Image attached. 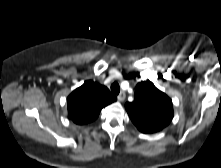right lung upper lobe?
Returning a JSON list of instances; mask_svg holds the SVG:
<instances>
[{
  "mask_svg": "<svg viewBox=\"0 0 221 168\" xmlns=\"http://www.w3.org/2000/svg\"><path fill=\"white\" fill-rule=\"evenodd\" d=\"M116 100L107 87L86 81L68 96V116L76 124H87L98 117L103 107Z\"/></svg>",
  "mask_w": 221,
  "mask_h": 168,
  "instance_id": "obj_1",
  "label": "right lung upper lobe"
}]
</instances>
